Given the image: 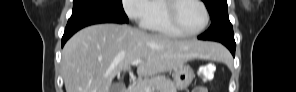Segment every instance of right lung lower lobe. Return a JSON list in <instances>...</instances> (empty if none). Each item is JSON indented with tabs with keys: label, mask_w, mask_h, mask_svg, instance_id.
Here are the masks:
<instances>
[{
	"label": "right lung lower lobe",
	"mask_w": 296,
	"mask_h": 92,
	"mask_svg": "<svg viewBox=\"0 0 296 92\" xmlns=\"http://www.w3.org/2000/svg\"><path fill=\"white\" fill-rule=\"evenodd\" d=\"M98 23L122 24L127 22L118 20L110 16L101 15V14H82V15L71 16L70 19L68 20L64 35L62 37V46L78 30L86 26H89L92 24H98Z\"/></svg>",
	"instance_id": "98d812e1"
}]
</instances>
